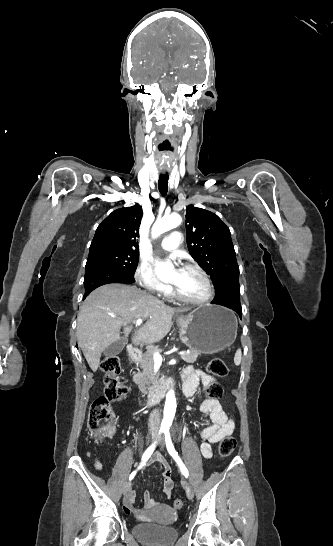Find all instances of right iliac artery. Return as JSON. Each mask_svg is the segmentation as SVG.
Listing matches in <instances>:
<instances>
[{
	"label": "right iliac artery",
	"mask_w": 333,
	"mask_h": 546,
	"mask_svg": "<svg viewBox=\"0 0 333 546\" xmlns=\"http://www.w3.org/2000/svg\"><path fill=\"white\" fill-rule=\"evenodd\" d=\"M162 432H163V430H160L159 433H158V436H160V435L162 434ZM156 444H157V439H156V440L154 441V443H153L151 446H149V447L147 448V450L144 452V454H143V456H142V462H141V464H140V466H139L138 469H140L141 467H143V466L146 464L147 460H148V459L150 458V456L152 455V453H153V451H154V449H155V447H156ZM136 473H137V470L133 471V472L130 474V476H129V480H132V479L135 477Z\"/></svg>",
	"instance_id": "obj_1"
}]
</instances>
